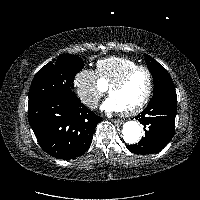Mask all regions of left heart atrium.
Segmentation results:
<instances>
[{"instance_id": "39dd6f15", "label": "left heart atrium", "mask_w": 200, "mask_h": 200, "mask_svg": "<svg viewBox=\"0 0 200 200\" xmlns=\"http://www.w3.org/2000/svg\"><path fill=\"white\" fill-rule=\"evenodd\" d=\"M101 109L105 112H120V108L114 98H107L101 105Z\"/></svg>"}]
</instances>
